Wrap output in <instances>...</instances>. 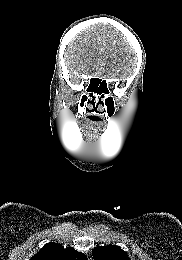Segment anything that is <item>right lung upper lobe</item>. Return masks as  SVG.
<instances>
[{
    "instance_id": "cb5924a9",
    "label": "right lung upper lobe",
    "mask_w": 182,
    "mask_h": 260,
    "mask_svg": "<svg viewBox=\"0 0 182 260\" xmlns=\"http://www.w3.org/2000/svg\"><path fill=\"white\" fill-rule=\"evenodd\" d=\"M30 260H87V257L73 247L64 248L58 243L50 242L45 244Z\"/></svg>"
}]
</instances>
